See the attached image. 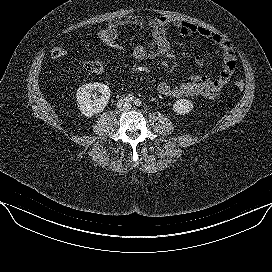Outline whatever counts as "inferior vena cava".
<instances>
[{
  "mask_svg": "<svg viewBox=\"0 0 272 272\" xmlns=\"http://www.w3.org/2000/svg\"><path fill=\"white\" fill-rule=\"evenodd\" d=\"M131 102L127 98H121L117 102V108L123 111H128L131 109Z\"/></svg>",
  "mask_w": 272,
  "mask_h": 272,
  "instance_id": "602c4592",
  "label": "inferior vena cava"
}]
</instances>
